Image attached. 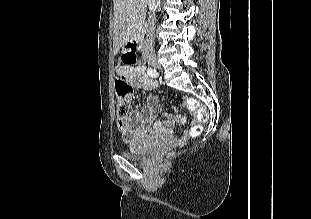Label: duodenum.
<instances>
[{
    "mask_svg": "<svg viewBox=\"0 0 311 219\" xmlns=\"http://www.w3.org/2000/svg\"><path fill=\"white\" fill-rule=\"evenodd\" d=\"M144 32L145 28L142 26L140 27L136 34L134 35L133 39L127 44V49L130 53L137 55L138 50L141 52L143 48V41H144Z\"/></svg>",
    "mask_w": 311,
    "mask_h": 219,
    "instance_id": "duodenum-1",
    "label": "duodenum"
}]
</instances>
